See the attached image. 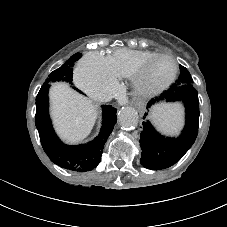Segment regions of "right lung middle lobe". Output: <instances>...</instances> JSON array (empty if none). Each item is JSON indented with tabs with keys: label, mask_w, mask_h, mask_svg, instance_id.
Wrapping results in <instances>:
<instances>
[{
	"label": "right lung middle lobe",
	"mask_w": 227,
	"mask_h": 227,
	"mask_svg": "<svg viewBox=\"0 0 227 227\" xmlns=\"http://www.w3.org/2000/svg\"><path fill=\"white\" fill-rule=\"evenodd\" d=\"M81 57L80 53L71 56L60 68L50 73L49 77L43 83V86L49 85L55 81H66L72 83L74 63ZM42 86V87H43Z\"/></svg>",
	"instance_id": "1"
}]
</instances>
